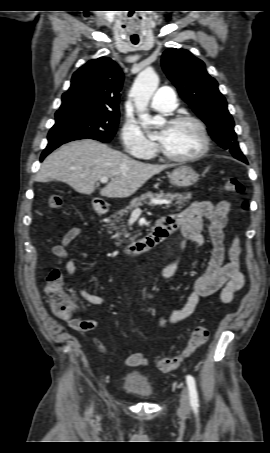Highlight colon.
<instances>
[{
	"mask_svg": "<svg viewBox=\"0 0 270 453\" xmlns=\"http://www.w3.org/2000/svg\"><path fill=\"white\" fill-rule=\"evenodd\" d=\"M224 189L230 193L240 194L244 191L243 184L236 178H229L224 182ZM246 207V203L243 204ZM49 206L54 210H62L64 207L63 198L60 195L49 197ZM64 277L60 269H51L46 277V292L49 297V305L53 313L61 317L73 315L76 310V302L64 288ZM209 331L204 325L197 326L181 352L169 358H162L158 361L157 367L164 372L177 369L180 364L190 358L194 352L206 343Z\"/></svg>",
	"mask_w": 270,
	"mask_h": 453,
	"instance_id": "5ec220e1",
	"label": "colon"
}]
</instances>
